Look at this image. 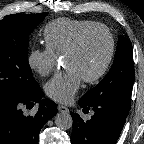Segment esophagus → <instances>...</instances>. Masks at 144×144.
<instances>
[{
    "label": "esophagus",
    "mask_w": 144,
    "mask_h": 144,
    "mask_svg": "<svg viewBox=\"0 0 144 144\" xmlns=\"http://www.w3.org/2000/svg\"><path fill=\"white\" fill-rule=\"evenodd\" d=\"M57 109L61 113H68L69 112V109L66 106H63V105H58Z\"/></svg>",
    "instance_id": "34e87169"
}]
</instances>
